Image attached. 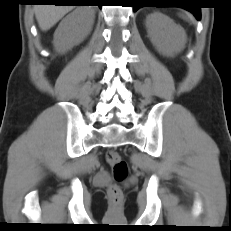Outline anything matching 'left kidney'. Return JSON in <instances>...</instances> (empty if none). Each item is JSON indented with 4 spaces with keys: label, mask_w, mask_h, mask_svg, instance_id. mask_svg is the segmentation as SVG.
<instances>
[{
    "label": "left kidney",
    "mask_w": 231,
    "mask_h": 231,
    "mask_svg": "<svg viewBox=\"0 0 231 231\" xmlns=\"http://www.w3.org/2000/svg\"><path fill=\"white\" fill-rule=\"evenodd\" d=\"M148 36L157 50L166 56L182 51L187 41L185 30L163 13H153L146 19Z\"/></svg>",
    "instance_id": "obj_1"
}]
</instances>
